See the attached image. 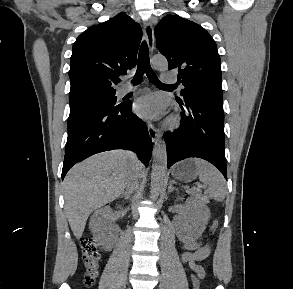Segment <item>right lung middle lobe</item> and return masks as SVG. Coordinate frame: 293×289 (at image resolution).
Wrapping results in <instances>:
<instances>
[{
    "instance_id": "dd1d6c3e",
    "label": "right lung middle lobe",
    "mask_w": 293,
    "mask_h": 289,
    "mask_svg": "<svg viewBox=\"0 0 293 289\" xmlns=\"http://www.w3.org/2000/svg\"><path fill=\"white\" fill-rule=\"evenodd\" d=\"M115 94L98 95L70 102V115L68 122H72L89 114L108 108L119 107L123 103L116 104Z\"/></svg>"
}]
</instances>
